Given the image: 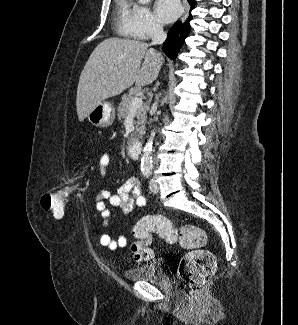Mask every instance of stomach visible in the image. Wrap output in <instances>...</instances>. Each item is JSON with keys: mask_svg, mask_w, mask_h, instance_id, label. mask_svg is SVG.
Instances as JSON below:
<instances>
[{"mask_svg": "<svg viewBox=\"0 0 298 325\" xmlns=\"http://www.w3.org/2000/svg\"><path fill=\"white\" fill-rule=\"evenodd\" d=\"M87 118L91 124L100 126V128L110 126L115 118V108L112 102H109V100H103V102L94 106L91 112H88Z\"/></svg>", "mask_w": 298, "mask_h": 325, "instance_id": "obj_1", "label": "stomach"}]
</instances>
